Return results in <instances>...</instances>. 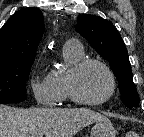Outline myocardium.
Returning <instances> with one entry per match:
<instances>
[{
  "label": "myocardium",
  "mask_w": 144,
  "mask_h": 137,
  "mask_svg": "<svg viewBox=\"0 0 144 137\" xmlns=\"http://www.w3.org/2000/svg\"><path fill=\"white\" fill-rule=\"evenodd\" d=\"M90 64H95V65L100 66L106 72L110 80V90L108 94L102 99L95 100V101H89V100L83 99L78 94L77 89H76V79H77L78 74L86 66ZM66 86H67L68 96L71 101L82 106L94 107V106H100L102 104H105L114 96L116 92V78H115L113 71L110 69V67L102 60H99L96 58H82L69 69L67 78H66Z\"/></svg>",
  "instance_id": "1"
}]
</instances>
